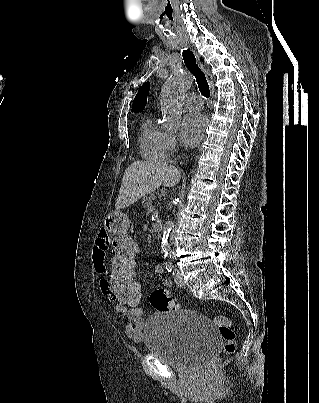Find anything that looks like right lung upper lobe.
Returning a JSON list of instances; mask_svg holds the SVG:
<instances>
[{"mask_svg": "<svg viewBox=\"0 0 319 403\" xmlns=\"http://www.w3.org/2000/svg\"><path fill=\"white\" fill-rule=\"evenodd\" d=\"M149 93V82H145L139 89L133 104L132 112L136 113L141 111L147 103V95Z\"/></svg>", "mask_w": 319, "mask_h": 403, "instance_id": "right-lung-upper-lobe-1", "label": "right lung upper lobe"}]
</instances>
